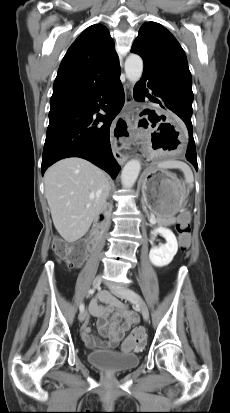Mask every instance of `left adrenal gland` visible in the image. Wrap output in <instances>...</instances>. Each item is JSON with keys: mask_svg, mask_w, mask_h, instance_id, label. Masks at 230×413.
Instances as JSON below:
<instances>
[{"mask_svg": "<svg viewBox=\"0 0 230 413\" xmlns=\"http://www.w3.org/2000/svg\"><path fill=\"white\" fill-rule=\"evenodd\" d=\"M142 206H143V209H144V211L146 212V214H147V216H148V219H149V214H148V211H147V209H146V207H145L144 203L142 204Z\"/></svg>", "mask_w": 230, "mask_h": 413, "instance_id": "a2214340", "label": "left adrenal gland"}]
</instances>
